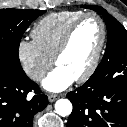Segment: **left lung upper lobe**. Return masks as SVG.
<instances>
[{
  "instance_id": "1",
  "label": "left lung upper lobe",
  "mask_w": 127,
  "mask_h": 127,
  "mask_svg": "<svg viewBox=\"0 0 127 127\" xmlns=\"http://www.w3.org/2000/svg\"><path fill=\"white\" fill-rule=\"evenodd\" d=\"M104 15V20L108 30L107 48L102 61L98 67H102L111 59L121 53H127V30L106 10L99 6H84Z\"/></svg>"
}]
</instances>
